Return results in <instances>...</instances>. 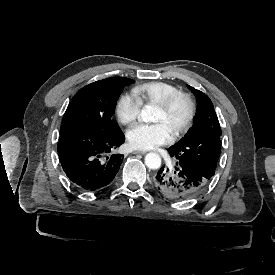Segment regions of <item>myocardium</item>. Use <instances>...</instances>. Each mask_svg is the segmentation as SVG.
Wrapping results in <instances>:
<instances>
[{"mask_svg":"<svg viewBox=\"0 0 275 275\" xmlns=\"http://www.w3.org/2000/svg\"><path fill=\"white\" fill-rule=\"evenodd\" d=\"M178 100L185 102L188 113L184 123L173 133V138H178L190 130L196 116V104L191 95L182 91H175L156 103L161 109L169 110Z\"/></svg>","mask_w":275,"mask_h":275,"instance_id":"obj_1","label":"myocardium"}]
</instances>
